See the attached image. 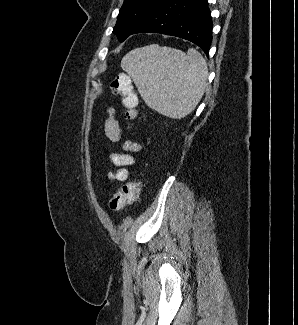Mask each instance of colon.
Returning a JSON list of instances; mask_svg holds the SVG:
<instances>
[{
	"mask_svg": "<svg viewBox=\"0 0 298 325\" xmlns=\"http://www.w3.org/2000/svg\"><path fill=\"white\" fill-rule=\"evenodd\" d=\"M110 87L112 93L120 96L126 118L134 120L138 114V97L130 77L125 73H119L111 82ZM142 185L143 181L140 178L125 182L109 200V208L112 211L124 210L138 199Z\"/></svg>",
	"mask_w": 298,
	"mask_h": 325,
	"instance_id": "obj_1",
	"label": "colon"
}]
</instances>
